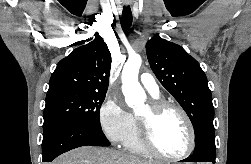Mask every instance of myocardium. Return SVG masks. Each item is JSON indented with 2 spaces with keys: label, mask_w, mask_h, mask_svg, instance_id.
I'll use <instances>...</instances> for the list:
<instances>
[{
  "label": "myocardium",
  "mask_w": 251,
  "mask_h": 164,
  "mask_svg": "<svg viewBox=\"0 0 251 164\" xmlns=\"http://www.w3.org/2000/svg\"><path fill=\"white\" fill-rule=\"evenodd\" d=\"M151 116L148 118H138L140 136L143 146L153 156L166 161H180L189 157L196 146V133L193 123L187 112L178 104L168 101H154L150 104ZM174 110L184 119L189 132V146L187 150L179 156H169L163 153L154 140V122L165 111Z\"/></svg>",
  "instance_id": "obj_1"
}]
</instances>
